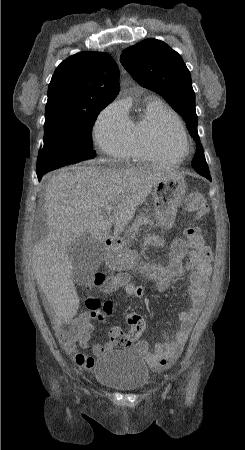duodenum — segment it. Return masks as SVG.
I'll return each instance as SVG.
<instances>
[{
    "label": "duodenum",
    "mask_w": 245,
    "mask_h": 450,
    "mask_svg": "<svg viewBox=\"0 0 245 450\" xmlns=\"http://www.w3.org/2000/svg\"><path fill=\"white\" fill-rule=\"evenodd\" d=\"M105 241L111 250L108 260L115 261L116 258L114 257V253L118 252V249L122 243V239L120 237L113 236L106 238Z\"/></svg>",
    "instance_id": "duodenum-1"
}]
</instances>
